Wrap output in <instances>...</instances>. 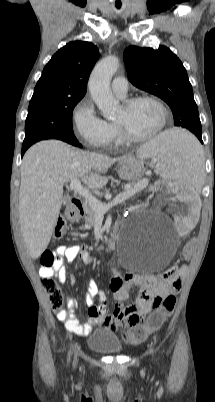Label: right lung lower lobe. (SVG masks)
Returning <instances> with one entry per match:
<instances>
[{"label":"right lung lower lobe","instance_id":"1","mask_svg":"<svg viewBox=\"0 0 215 402\" xmlns=\"http://www.w3.org/2000/svg\"><path fill=\"white\" fill-rule=\"evenodd\" d=\"M69 144H72V145H74V146L81 147V144L78 143L77 140H76V141H72V142L69 143ZM30 146H31V145H30ZM30 146H29V145H23V146H22V156H23V154L25 153V151H26Z\"/></svg>","mask_w":215,"mask_h":402}]
</instances>
